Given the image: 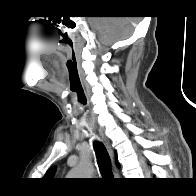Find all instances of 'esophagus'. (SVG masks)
<instances>
[{"mask_svg": "<svg viewBox=\"0 0 196 196\" xmlns=\"http://www.w3.org/2000/svg\"><path fill=\"white\" fill-rule=\"evenodd\" d=\"M101 136H102V139H103V140L105 141V143L107 144L111 156L114 157L113 150L111 149V147H110V145H109V143H108L107 138L104 136L103 133H101ZM114 171H115V175H116V176H119V173H118V170H117L116 166H115V168H114Z\"/></svg>", "mask_w": 196, "mask_h": 196, "instance_id": "esophagus-1", "label": "esophagus"}]
</instances>
